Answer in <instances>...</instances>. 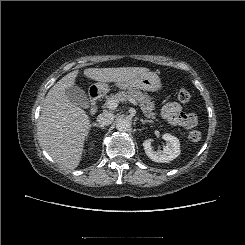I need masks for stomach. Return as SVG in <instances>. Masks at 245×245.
<instances>
[{"instance_id":"obj_1","label":"stomach","mask_w":245,"mask_h":245,"mask_svg":"<svg viewBox=\"0 0 245 245\" xmlns=\"http://www.w3.org/2000/svg\"><path fill=\"white\" fill-rule=\"evenodd\" d=\"M116 85L121 89H141L151 92H158L162 88L160 78L154 72H147L125 81L116 82ZM95 86L101 92L108 90L106 82H98Z\"/></svg>"}]
</instances>
